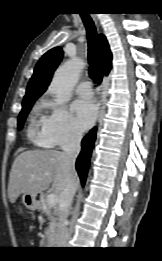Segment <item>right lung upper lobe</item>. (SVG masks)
<instances>
[{"label":"right lung upper lobe","instance_id":"1","mask_svg":"<svg viewBox=\"0 0 162 261\" xmlns=\"http://www.w3.org/2000/svg\"><path fill=\"white\" fill-rule=\"evenodd\" d=\"M99 41L103 73L108 75L112 67V54L104 35H99ZM62 57V48L55 47L46 52L40 58L35 66L34 74L28 83L26 95L24 96L23 101L37 99L42 93L46 91L51 81L53 72L61 62Z\"/></svg>","mask_w":162,"mask_h":261}]
</instances>
